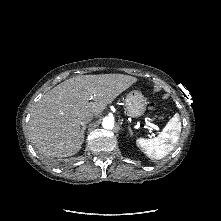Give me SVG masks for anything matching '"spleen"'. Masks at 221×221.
Instances as JSON below:
<instances>
[{
    "label": "spleen",
    "instance_id": "spleen-1",
    "mask_svg": "<svg viewBox=\"0 0 221 221\" xmlns=\"http://www.w3.org/2000/svg\"><path fill=\"white\" fill-rule=\"evenodd\" d=\"M180 132V117L176 113L157 137L153 139L139 138L136 140V144L150 159H162L173 150L178 142Z\"/></svg>",
    "mask_w": 221,
    "mask_h": 221
}]
</instances>
